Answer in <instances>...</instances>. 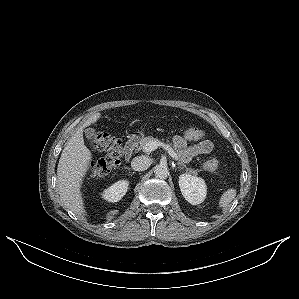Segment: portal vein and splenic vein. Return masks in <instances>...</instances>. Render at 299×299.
Instances as JSON below:
<instances>
[{
	"label": "portal vein and splenic vein",
	"mask_w": 299,
	"mask_h": 299,
	"mask_svg": "<svg viewBox=\"0 0 299 299\" xmlns=\"http://www.w3.org/2000/svg\"><path fill=\"white\" fill-rule=\"evenodd\" d=\"M159 146H162L164 149H166L174 160H178V156L176 152L168 144L165 143L149 142L148 144L145 145L143 150L144 152L149 153L157 149Z\"/></svg>",
	"instance_id": "1"
}]
</instances>
